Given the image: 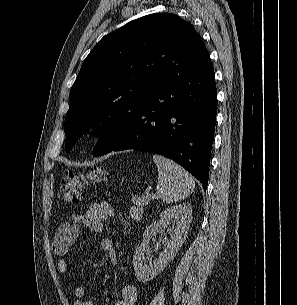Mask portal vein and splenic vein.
<instances>
[{
    "mask_svg": "<svg viewBox=\"0 0 297 305\" xmlns=\"http://www.w3.org/2000/svg\"><path fill=\"white\" fill-rule=\"evenodd\" d=\"M144 197H145L146 201H150V200L158 197V194H153V193L146 192Z\"/></svg>",
    "mask_w": 297,
    "mask_h": 305,
    "instance_id": "obj_1",
    "label": "portal vein and splenic vein"
}]
</instances>
